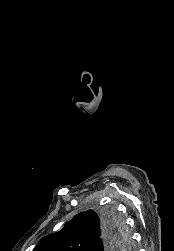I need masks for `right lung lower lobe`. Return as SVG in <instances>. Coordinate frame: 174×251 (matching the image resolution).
I'll list each match as a JSON object with an SVG mask.
<instances>
[{
    "label": "right lung lower lobe",
    "instance_id": "98d812e1",
    "mask_svg": "<svg viewBox=\"0 0 174 251\" xmlns=\"http://www.w3.org/2000/svg\"><path fill=\"white\" fill-rule=\"evenodd\" d=\"M119 232H120V230L118 228V225L111 223L110 221L106 220L103 217L102 235L100 238V243L94 250L98 251L101 247L104 248V251H120V250H122V249H120V250L112 249V245L115 242Z\"/></svg>",
    "mask_w": 174,
    "mask_h": 251
}]
</instances>
